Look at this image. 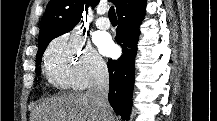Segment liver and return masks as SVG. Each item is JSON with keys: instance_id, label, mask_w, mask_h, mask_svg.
<instances>
[{"instance_id": "1", "label": "liver", "mask_w": 217, "mask_h": 121, "mask_svg": "<svg viewBox=\"0 0 217 121\" xmlns=\"http://www.w3.org/2000/svg\"><path fill=\"white\" fill-rule=\"evenodd\" d=\"M32 121H102L100 111L86 94L48 99L33 112Z\"/></svg>"}]
</instances>
